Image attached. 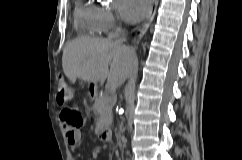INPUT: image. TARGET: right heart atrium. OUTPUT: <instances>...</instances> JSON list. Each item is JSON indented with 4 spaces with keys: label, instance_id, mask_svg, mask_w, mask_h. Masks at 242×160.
<instances>
[{
    "label": "right heart atrium",
    "instance_id": "d8ad5b80",
    "mask_svg": "<svg viewBox=\"0 0 242 160\" xmlns=\"http://www.w3.org/2000/svg\"><path fill=\"white\" fill-rule=\"evenodd\" d=\"M99 19L102 32L111 33L117 26L116 17L113 12L107 8H98Z\"/></svg>",
    "mask_w": 242,
    "mask_h": 160
}]
</instances>
